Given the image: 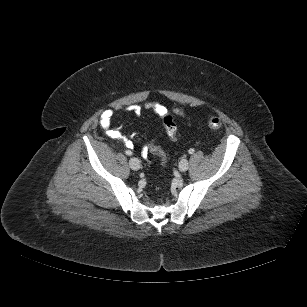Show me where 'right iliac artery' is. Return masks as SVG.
Segmentation results:
<instances>
[{"mask_svg": "<svg viewBox=\"0 0 307 307\" xmlns=\"http://www.w3.org/2000/svg\"><path fill=\"white\" fill-rule=\"evenodd\" d=\"M125 153H126V155H129V156L132 155V152L129 151V150H126Z\"/></svg>", "mask_w": 307, "mask_h": 307, "instance_id": "82829eb1", "label": "right iliac artery"}]
</instances>
